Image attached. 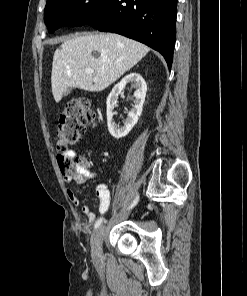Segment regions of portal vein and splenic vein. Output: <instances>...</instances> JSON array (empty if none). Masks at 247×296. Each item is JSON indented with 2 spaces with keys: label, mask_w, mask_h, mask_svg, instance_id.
<instances>
[{
  "label": "portal vein and splenic vein",
  "mask_w": 247,
  "mask_h": 296,
  "mask_svg": "<svg viewBox=\"0 0 247 296\" xmlns=\"http://www.w3.org/2000/svg\"><path fill=\"white\" fill-rule=\"evenodd\" d=\"M86 72H87V73H93L94 70H93L92 68H88V69H86Z\"/></svg>",
  "instance_id": "obj_1"
}]
</instances>
